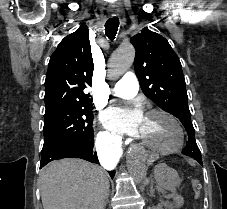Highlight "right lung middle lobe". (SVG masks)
<instances>
[{
  "label": "right lung middle lobe",
  "instance_id": "dd1d6c3e",
  "mask_svg": "<svg viewBox=\"0 0 227 209\" xmlns=\"http://www.w3.org/2000/svg\"><path fill=\"white\" fill-rule=\"evenodd\" d=\"M45 105L43 149L69 140L93 138L91 99L56 98Z\"/></svg>",
  "mask_w": 227,
  "mask_h": 209
}]
</instances>
